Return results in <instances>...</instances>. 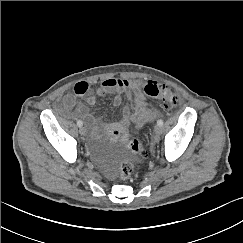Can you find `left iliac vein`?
<instances>
[{"label": "left iliac vein", "mask_w": 243, "mask_h": 243, "mask_svg": "<svg viewBox=\"0 0 243 243\" xmlns=\"http://www.w3.org/2000/svg\"><path fill=\"white\" fill-rule=\"evenodd\" d=\"M154 133H155V135H154V140L157 141V140L159 139V135L162 133V128H161V126L156 125V126L154 127Z\"/></svg>", "instance_id": "4c4485c4"}]
</instances>
